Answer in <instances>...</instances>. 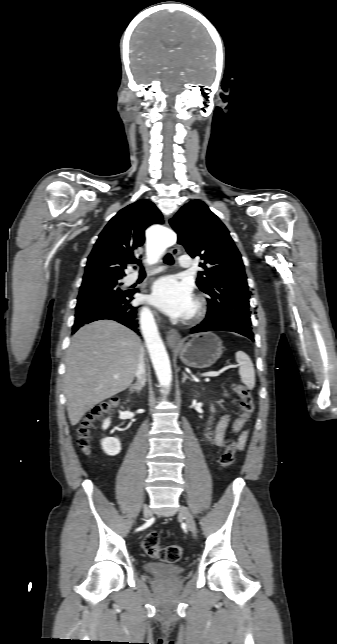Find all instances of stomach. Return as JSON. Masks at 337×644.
I'll use <instances>...</instances> for the list:
<instances>
[{
    "label": "stomach",
    "mask_w": 337,
    "mask_h": 644,
    "mask_svg": "<svg viewBox=\"0 0 337 644\" xmlns=\"http://www.w3.org/2000/svg\"><path fill=\"white\" fill-rule=\"evenodd\" d=\"M174 350L185 365L204 369L221 357L223 345L217 335L207 332L192 336L188 342L175 346Z\"/></svg>",
    "instance_id": "obj_1"
}]
</instances>
